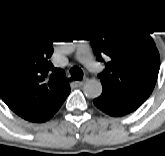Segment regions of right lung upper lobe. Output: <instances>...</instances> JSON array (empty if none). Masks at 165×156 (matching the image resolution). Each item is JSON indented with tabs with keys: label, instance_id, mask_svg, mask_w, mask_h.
<instances>
[{
	"label": "right lung upper lobe",
	"instance_id": "1",
	"mask_svg": "<svg viewBox=\"0 0 165 156\" xmlns=\"http://www.w3.org/2000/svg\"><path fill=\"white\" fill-rule=\"evenodd\" d=\"M55 28H31L0 44V96L25 120L39 123L53 114L70 93L64 70L55 68Z\"/></svg>",
	"mask_w": 165,
	"mask_h": 156
}]
</instances>
